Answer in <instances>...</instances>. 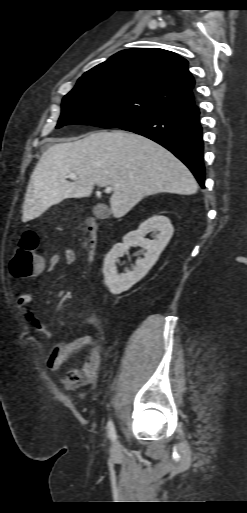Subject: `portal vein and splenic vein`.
I'll return each mask as SVG.
<instances>
[{"mask_svg":"<svg viewBox=\"0 0 247 513\" xmlns=\"http://www.w3.org/2000/svg\"><path fill=\"white\" fill-rule=\"evenodd\" d=\"M70 178H76L77 175L75 173H71L68 175ZM113 190V187L112 186H106L105 187V192L106 193H110L111 191Z\"/></svg>","mask_w":247,"mask_h":513,"instance_id":"portal-vein-and-splenic-vein-1","label":"portal vein and splenic vein"}]
</instances>
